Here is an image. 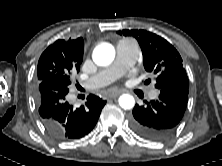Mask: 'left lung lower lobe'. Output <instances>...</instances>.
Masks as SVG:
<instances>
[{
    "instance_id": "left-lung-lower-lobe-1",
    "label": "left lung lower lobe",
    "mask_w": 222,
    "mask_h": 166,
    "mask_svg": "<svg viewBox=\"0 0 222 166\" xmlns=\"http://www.w3.org/2000/svg\"><path fill=\"white\" fill-rule=\"evenodd\" d=\"M188 88L166 85L160 89L157 100L135 105L130 125L139 136L161 141L169 138L180 123L188 102Z\"/></svg>"
}]
</instances>
